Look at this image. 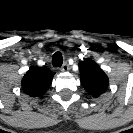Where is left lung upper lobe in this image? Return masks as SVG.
<instances>
[{
    "label": "left lung upper lobe",
    "mask_w": 133,
    "mask_h": 133,
    "mask_svg": "<svg viewBox=\"0 0 133 133\" xmlns=\"http://www.w3.org/2000/svg\"><path fill=\"white\" fill-rule=\"evenodd\" d=\"M80 80L83 87L93 96L99 97L106 92L109 80L105 72L92 59L86 58L79 63Z\"/></svg>",
    "instance_id": "obj_1"
}]
</instances>
